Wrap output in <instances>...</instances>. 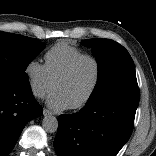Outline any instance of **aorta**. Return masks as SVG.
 <instances>
[{
    "instance_id": "1",
    "label": "aorta",
    "mask_w": 156,
    "mask_h": 156,
    "mask_svg": "<svg viewBox=\"0 0 156 156\" xmlns=\"http://www.w3.org/2000/svg\"><path fill=\"white\" fill-rule=\"evenodd\" d=\"M42 127L48 133H54L58 129V120L55 116L47 115L42 120Z\"/></svg>"
}]
</instances>
